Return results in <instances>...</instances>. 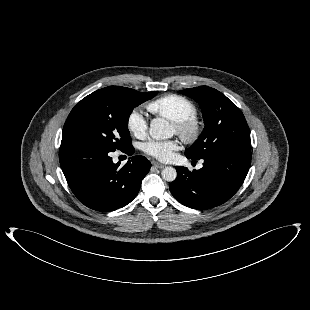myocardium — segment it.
Returning <instances> with one entry per match:
<instances>
[{
  "instance_id": "myocardium-1",
  "label": "myocardium",
  "mask_w": 310,
  "mask_h": 310,
  "mask_svg": "<svg viewBox=\"0 0 310 310\" xmlns=\"http://www.w3.org/2000/svg\"><path fill=\"white\" fill-rule=\"evenodd\" d=\"M176 133L187 143L195 142L202 133V123L196 117L173 122Z\"/></svg>"
}]
</instances>
